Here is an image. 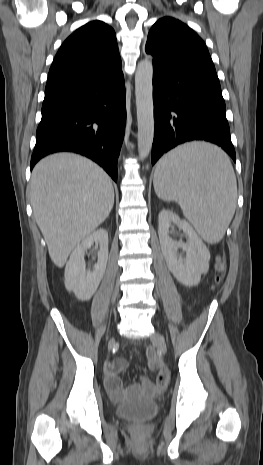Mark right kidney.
<instances>
[{
    "label": "right kidney",
    "instance_id": "ca27d5eb",
    "mask_svg": "<svg viewBox=\"0 0 263 465\" xmlns=\"http://www.w3.org/2000/svg\"><path fill=\"white\" fill-rule=\"evenodd\" d=\"M96 244L98 260L93 271H86L85 251ZM108 260V233L98 229L87 236L71 253L65 267V287L81 301L89 300L96 292L106 270Z\"/></svg>",
    "mask_w": 263,
    "mask_h": 465
}]
</instances>
